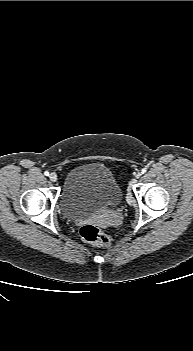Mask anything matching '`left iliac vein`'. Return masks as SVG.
Listing matches in <instances>:
<instances>
[{
	"label": "left iliac vein",
	"instance_id": "1",
	"mask_svg": "<svg viewBox=\"0 0 193 351\" xmlns=\"http://www.w3.org/2000/svg\"><path fill=\"white\" fill-rule=\"evenodd\" d=\"M140 177H141V173L138 172V173L135 175V178H136V179H139Z\"/></svg>",
	"mask_w": 193,
	"mask_h": 351
}]
</instances>
